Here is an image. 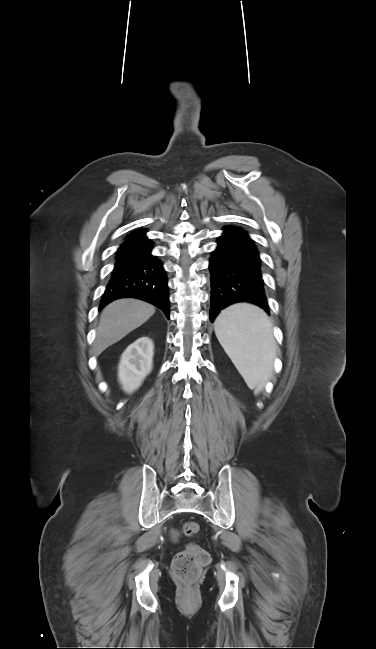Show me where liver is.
Returning a JSON list of instances; mask_svg holds the SVG:
<instances>
[{"label": "liver", "instance_id": "obj_1", "mask_svg": "<svg viewBox=\"0 0 376 649\" xmlns=\"http://www.w3.org/2000/svg\"><path fill=\"white\" fill-rule=\"evenodd\" d=\"M155 313V307L144 301L119 299L103 310L94 341V352L100 355L106 348L141 326Z\"/></svg>", "mask_w": 376, "mask_h": 649}]
</instances>
